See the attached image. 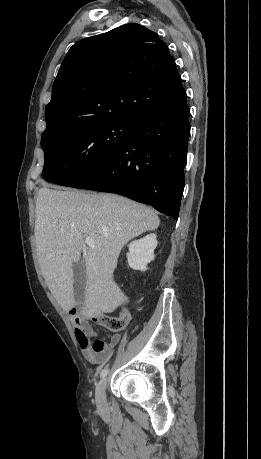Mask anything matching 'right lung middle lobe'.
I'll use <instances>...</instances> for the list:
<instances>
[{"label":"right lung middle lobe","instance_id":"1","mask_svg":"<svg viewBox=\"0 0 261 459\" xmlns=\"http://www.w3.org/2000/svg\"><path fill=\"white\" fill-rule=\"evenodd\" d=\"M137 123L108 121L82 131L42 134L43 178L69 186L113 157L128 141Z\"/></svg>","mask_w":261,"mask_h":459}]
</instances>
